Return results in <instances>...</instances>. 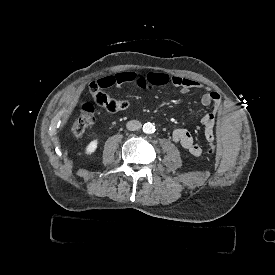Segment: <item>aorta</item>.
<instances>
[{"mask_svg": "<svg viewBox=\"0 0 275 275\" xmlns=\"http://www.w3.org/2000/svg\"><path fill=\"white\" fill-rule=\"evenodd\" d=\"M155 131L153 123L147 122L143 125V132L146 134H152Z\"/></svg>", "mask_w": 275, "mask_h": 275, "instance_id": "762f6f07", "label": "aorta"}]
</instances>
